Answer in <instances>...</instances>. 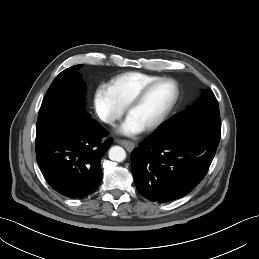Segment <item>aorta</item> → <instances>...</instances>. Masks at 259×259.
Instances as JSON below:
<instances>
[{
    "mask_svg": "<svg viewBox=\"0 0 259 259\" xmlns=\"http://www.w3.org/2000/svg\"><path fill=\"white\" fill-rule=\"evenodd\" d=\"M109 158L112 161H116V162H122L123 160H125L126 158V152L125 150L120 147V146H113L110 150H109Z\"/></svg>",
    "mask_w": 259,
    "mask_h": 259,
    "instance_id": "aorta-1",
    "label": "aorta"
}]
</instances>
